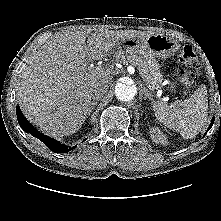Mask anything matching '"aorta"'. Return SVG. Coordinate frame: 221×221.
Segmentation results:
<instances>
[{
	"mask_svg": "<svg viewBox=\"0 0 221 221\" xmlns=\"http://www.w3.org/2000/svg\"><path fill=\"white\" fill-rule=\"evenodd\" d=\"M115 95L120 101H130L137 94V88L124 82H117L115 85Z\"/></svg>",
	"mask_w": 221,
	"mask_h": 221,
	"instance_id": "aorta-1",
	"label": "aorta"
}]
</instances>
